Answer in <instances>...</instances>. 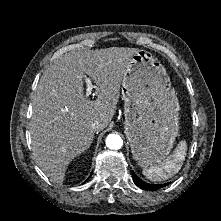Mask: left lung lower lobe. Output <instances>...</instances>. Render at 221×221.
Instances as JSON below:
<instances>
[{
    "label": "left lung lower lobe",
    "instance_id": "obj_1",
    "mask_svg": "<svg viewBox=\"0 0 221 221\" xmlns=\"http://www.w3.org/2000/svg\"><path fill=\"white\" fill-rule=\"evenodd\" d=\"M132 177L134 180V183L141 189L143 190H150V191H156L159 188L165 187L168 183L165 184H149L144 181H142L134 172H132Z\"/></svg>",
    "mask_w": 221,
    "mask_h": 221
}]
</instances>
